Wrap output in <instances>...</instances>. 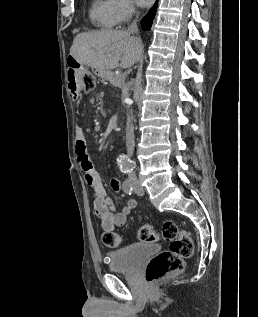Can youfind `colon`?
Returning <instances> with one entry per match:
<instances>
[{
  "label": "colon",
  "mask_w": 258,
  "mask_h": 317,
  "mask_svg": "<svg viewBox=\"0 0 258 317\" xmlns=\"http://www.w3.org/2000/svg\"><path fill=\"white\" fill-rule=\"evenodd\" d=\"M73 59L69 58V61ZM82 86L84 92L92 91L96 86L94 75L81 69ZM169 242V249L153 256L145 266V278L149 283H155L165 276L180 272L184 269L185 260L192 256L194 243L190 234L180 230L176 223L167 221L163 224L161 234L152 224H144L138 230L142 241L154 242L159 236ZM122 236L113 231L104 232L102 242L106 247L117 248L122 244Z\"/></svg>",
  "instance_id": "1"
}]
</instances>
